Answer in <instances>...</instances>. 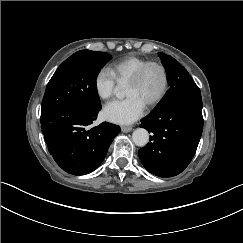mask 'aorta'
I'll return each instance as SVG.
<instances>
[{
    "mask_svg": "<svg viewBox=\"0 0 243 243\" xmlns=\"http://www.w3.org/2000/svg\"><path fill=\"white\" fill-rule=\"evenodd\" d=\"M116 97L118 99H123L125 97V92L122 87L116 88ZM132 140L136 146L143 147L149 141V133L144 128H137L132 133Z\"/></svg>",
    "mask_w": 243,
    "mask_h": 243,
    "instance_id": "1",
    "label": "aorta"
}]
</instances>
